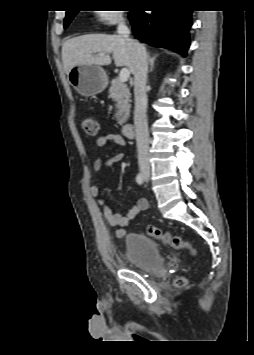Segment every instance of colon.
I'll return each mask as SVG.
<instances>
[{"label":"colon","mask_w":254,"mask_h":355,"mask_svg":"<svg viewBox=\"0 0 254 355\" xmlns=\"http://www.w3.org/2000/svg\"><path fill=\"white\" fill-rule=\"evenodd\" d=\"M82 127L87 135L95 136L98 133V124L92 118H85L82 121ZM146 230L150 236L161 240L165 244L173 247L174 249H184L188 251L192 256L197 255V251L194 246L178 235H173L169 232H165L155 226H148ZM185 284L186 280L184 278H180L177 280L178 286H184Z\"/></svg>","instance_id":"5ec220e1"}]
</instances>
